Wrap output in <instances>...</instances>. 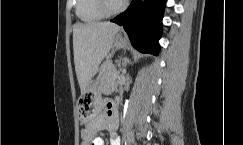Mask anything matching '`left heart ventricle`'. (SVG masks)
I'll use <instances>...</instances> for the list:
<instances>
[{"mask_svg": "<svg viewBox=\"0 0 243 145\" xmlns=\"http://www.w3.org/2000/svg\"><path fill=\"white\" fill-rule=\"evenodd\" d=\"M123 0H109V4L111 7H117L121 4Z\"/></svg>", "mask_w": 243, "mask_h": 145, "instance_id": "1", "label": "left heart ventricle"}]
</instances>
